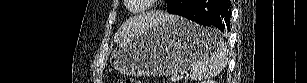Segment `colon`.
I'll use <instances>...</instances> for the list:
<instances>
[{
  "label": "colon",
  "mask_w": 307,
  "mask_h": 83,
  "mask_svg": "<svg viewBox=\"0 0 307 83\" xmlns=\"http://www.w3.org/2000/svg\"><path fill=\"white\" fill-rule=\"evenodd\" d=\"M119 83H136L137 81H135L134 79H130V78H122L120 80H118Z\"/></svg>",
  "instance_id": "1"
}]
</instances>
